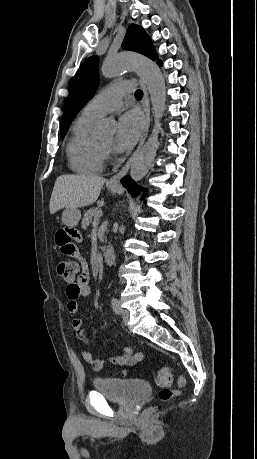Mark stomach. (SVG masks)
<instances>
[{
    "instance_id": "1",
    "label": "stomach",
    "mask_w": 257,
    "mask_h": 459,
    "mask_svg": "<svg viewBox=\"0 0 257 459\" xmlns=\"http://www.w3.org/2000/svg\"><path fill=\"white\" fill-rule=\"evenodd\" d=\"M110 191L115 193L117 188L109 187ZM81 218V212L78 208H66L62 214V222L70 223L71 227H76Z\"/></svg>"
}]
</instances>
